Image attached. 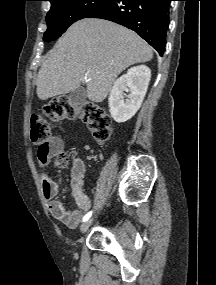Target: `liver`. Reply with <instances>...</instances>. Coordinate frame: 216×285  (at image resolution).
<instances>
[{
	"mask_svg": "<svg viewBox=\"0 0 216 285\" xmlns=\"http://www.w3.org/2000/svg\"><path fill=\"white\" fill-rule=\"evenodd\" d=\"M152 58V49L134 31L102 19H83L68 28L44 60L37 96L47 100L85 83L87 97L102 102L123 70Z\"/></svg>",
	"mask_w": 216,
	"mask_h": 285,
	"instance_id": "1",
	"label": "liver"
}]
</instances>
